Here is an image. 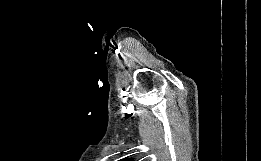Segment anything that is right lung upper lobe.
Wrapping results in <instances>:
<instances>
[{
    "mask_svg": "<svg viewBox=\"0 0 261 161\" xmlns=\"http://www.w3.org/2000/svg\"><path fill=\"white\" fill-rule=\"evenodd\" d=\"M122 161H132L131 159H126V160H122Z\"/></svg>",
    "mask_w": 261,
    "mask_h": 161,
    "instance_id": "right-lung-upper-lobe-1",
    "label": "right lung upper lobe"
}]
</instances>
